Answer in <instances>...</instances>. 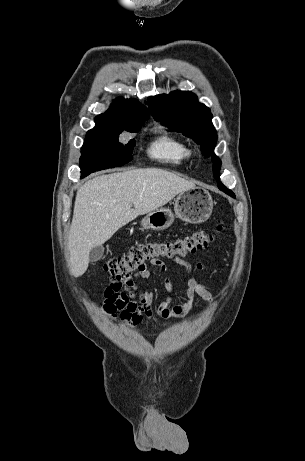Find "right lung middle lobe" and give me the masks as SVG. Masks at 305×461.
Returning <instances> with one entry per match:
<instances>
[{
	"mask_svg": "<svg viewBox=\"0 0 305 461\" xmlns=\"http://www.w3.org/2000/svg\"><path fill=\"white\" fill-rule=\"evenodd\" d=\"M81 148L80 169L82 176L91 172L124 165L132 159L135 140L127 144L118 140L123 131L138 132L144 121L119 123L95 120Z\"/></svg>",
	"mask_w": 305,
	"mask_h": 461,
	"instance_id": "right-lung-middle-lobe-1",
	"label": "right lung middle lobe"
}]
</instances>
